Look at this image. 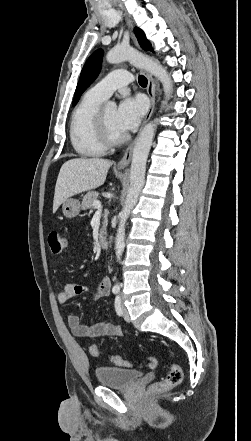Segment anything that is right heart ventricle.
Listing matches in <instances>:
<instances>
[{
	"label": "right heart ventricle",
	"mask_w": 251,
	"mask_h": 441,
	"mask_svg": "<svg viewBox=\"0 0 251 441\" xmlns=\"http://www.w3.org/2000/svg\"><path fill=\"white\" fill-rule=\"evenodd\" d=\"M105 99L93 90L87 91L75 107L70 122V140L74 150L82 157L103 155L107 147L96 131V115Z\"/></svg>",
	"instance_id": "1"
}]
</instances>
